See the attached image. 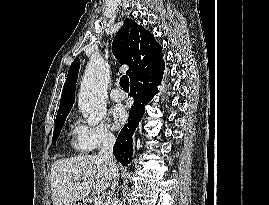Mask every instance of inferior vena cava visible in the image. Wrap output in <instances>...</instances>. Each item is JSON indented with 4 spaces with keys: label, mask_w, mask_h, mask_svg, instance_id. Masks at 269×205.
I'll return each instance as SVG.
<instances>
[{
    "label": "inferior vena cava",
    "mask_w": 269,
    "mask_h": 205,
    "mask_svg": "<svg viewBox=\"0 0 269 205\" xmlns=\"http://www.w3.org/2000/svg\"><path fill=\"white\" fill-rule=\"evenodd\" d=\"M115 143V136L111 132H105L102 138V148L99 151V157L106 160L113 172V182H111V190L109 191V196H112L116 189L117 181L116 177L119 175L117 165L113 157V146Z\"/></svg>",
    "instance_id": "obj_1"
}]
</instances>
